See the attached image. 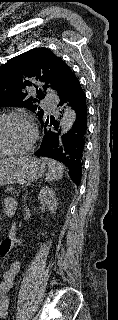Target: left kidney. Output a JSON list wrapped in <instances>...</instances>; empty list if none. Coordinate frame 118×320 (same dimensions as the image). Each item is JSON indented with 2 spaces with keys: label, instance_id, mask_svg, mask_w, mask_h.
Listing matches in <instances>:
<instances>
[{
  "label": "left kidney",
  "instance_id": "obj_1",
  "mask_svg": "<svg viewBox=\"0 0 118 320\" xmlns=\"http://www.w3.org/2000/svg\"><path fill=\"white\" fill-rule=\"evenodd\" d=\"M38 199L41 204L46 205L48 207V210L50 211V213L52 214L56 213L58 203L55 198V192L52 188L43 187L40 190Z\"/></svg>",
  "mask_w": 118,
  "mask_h": 320
}]
</instances>
